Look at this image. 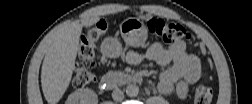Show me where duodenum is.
Instances as JSON below:
<instances>
[{"label": "duodenum", "instance_id": "obj_1", "mask_svg": "<svg viewBox=\"0 0 252 104\" xmlns=\"http://www.w3.org/2000/svg\"><path fill=\"white\" fill-rule=\"evenodd\" d=\"M141 77L138 75L123 74V73H109L106 74L100 82L104 90H109L116 87L119 83L132 84L140 83Z\"/></svg>", "mask_w": 252, "mask_h": 104}]
</instances>
